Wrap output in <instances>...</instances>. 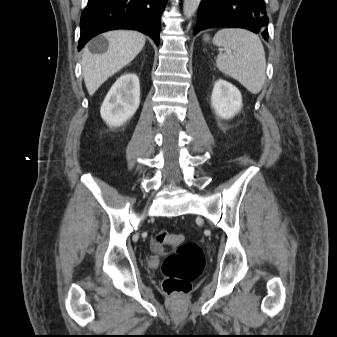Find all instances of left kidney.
I'll return each mask as SVG.
<instances>
[{
    "mask_svg": "<svg viewBox=\"0 0 337 337\" xmlns=\"http://www.w3.org/2000/svg\"><path fill=\"white\" fill-rule=\"evenodd\" d=\"M211 105L219 117L230 119L242 108L241 93L231 83L219 79L214 84Z\"/></svg>",
    "mask_w": 337,
    "mask_h": 337,
    "instance_id": "left-kidney-1",
    "label": "left kidney"
}]
</instances>
